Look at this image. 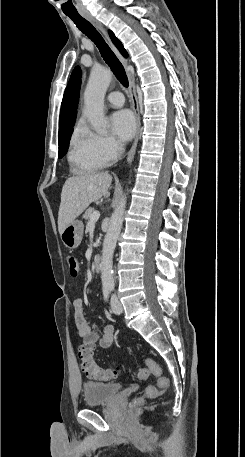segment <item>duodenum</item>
<instances>
[{"label": "duodenum", "instance_id": "1", "mask_svg": "<svg viewBox=\"0 0 245 457\" xmlns=\"http://www.w3.org/2000/svg\"><path fill=\"white\" fill-rule=\"evenodd\" d=\"M101 256L100 255H95L92 261L93 267L96 271H98L101 268Z\"/></svg>", "mask_w": 245, "mask_h": 457}]
</instances>
